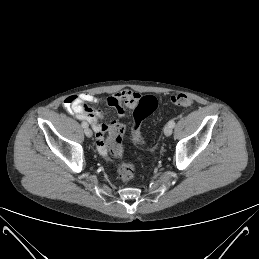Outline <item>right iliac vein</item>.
I'll use <instances>...</instances> for the list:
<instances>
[{
	"mask_svg": "<svg viewBox=\"0 0 259 259\" xmlns=\"http://www.w3.org/2000/svg\"><path fill=\"white\" fill-rule=\"evenodd\" d=\"M84 132H85V135L89 138L92 137L93 135L92 130L88 127L85 128Z\"/></svg>",
	"mask_w": 259,
	"mask_h": 259,
	"instance_id": "obj_1",
	"label": "right iliac vein"
}]
</instances>
